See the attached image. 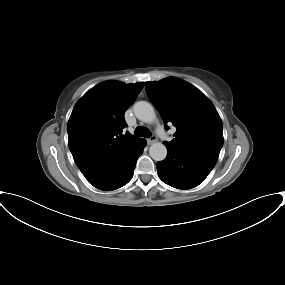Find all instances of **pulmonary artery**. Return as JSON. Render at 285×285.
<instances>
[{"label": "pulmonary artery", "mask_w": 285, "mask_h": 285, "mask_svg": "<svg viewBox=\"0 0 285 285\" xmlns=\"http://www.w3.org/2000/svg\"><path fill=\"white\" fill-rule=\"evenodd\" d=\"M157 133L166 140L170 139V135L161 127L157 128Z\"/></svg>", "instance_id": "1"}]
</instances>
